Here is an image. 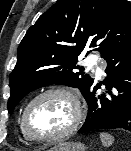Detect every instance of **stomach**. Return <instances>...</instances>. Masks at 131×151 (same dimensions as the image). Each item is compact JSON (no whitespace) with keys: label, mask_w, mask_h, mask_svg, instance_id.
I'll list each match as a JSON object with an SVG mask.
<instances>
[{"label":"stomach","mask_w":131,"mask_h":151,"mask_svg":"<svg viewBox=\"0 0 131 151\" xmlns=\"http://www.w3.org/2000/svg\"><path fill=\"white\" fill-rule=\"evenodd\" d=\"M47 151H86V146L81 142H64Z\"/></svg>","instance_id":"1"}]
</instances>
